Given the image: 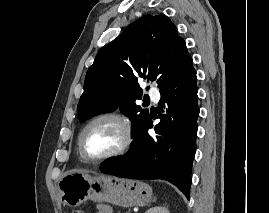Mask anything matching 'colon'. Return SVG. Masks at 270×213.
Wrapping results in <instances>:
<instances>
[{
	"label": "colon",
	"instance_id": "5ec220e1",
	"mask_svg": "<svg viewBox=\"0 0 270 213\" xmlns=\"http://www.w3.org/2000/svg\"><path fill=\"white\" fill-rule=\"evenodd\" d=\"M73 213H84V212L83 211H80V210H76Z\"/></svg>",
	"mask_w": 270,
	"mask_h": 213
}]
</instances>
